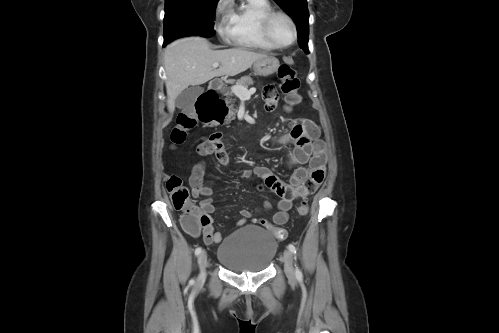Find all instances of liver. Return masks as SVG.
<instances>
[{
	"instance_id": "obj_1",
	"label": "liver",
	"mask_w": 499,
	"mask_h": 333,
	"mask_svg": "<svg viewBox=\"0 0 499 333\" xmlns=\"http://www.w3.org/2000/svg\"><path fill=\"white\" fill-rule=\"evenodd\" d=\"M268 57L242 47L212 50L202 37H185L170 43L164 53L167 75V107L171 114L163 127L167 126L175 110V100L188 86L202 85L214 77L235 76L246 71L257 60ZM219 63L218 69L212 67Z\"/></svg>"
}]
</instances>
